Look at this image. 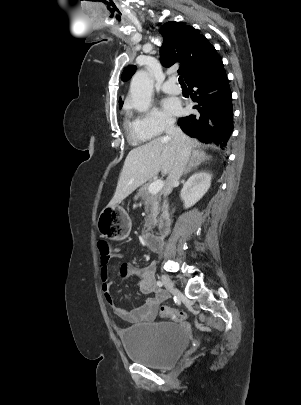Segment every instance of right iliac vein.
I'll return each instance as SVG.
<instances>
[{
    "instance_id": "obj_1",
    "label": "right iliac vein",
    "mask_w": 301,
    "mask_h": 405,
    "mask_svg": "<svg viewBox=\"0 0 301 405\" xmlns=\"http://www.w3.org/2000/svg\"><path fill=\"white\" fill-rule=\"evenodd\" d=\"M161 280L164 283L165 287L174 295H179V290L175 287L174 283L170 277L166 274L161 275Z\"/></svg>"
}]
</instances>
